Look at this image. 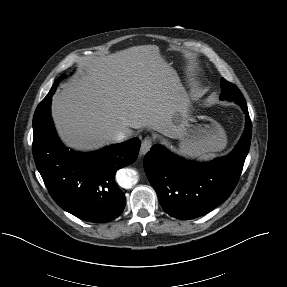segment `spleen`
<instances>
[{
    "mask_svg": "<svg viewBox=\"0 0 287 287\" xmlns=\"http://www.w3.org/2000/svg\"><path fill=\"white\" fill-rule=\"evenodd\" d=\"M213 157H215V155H214V154H208V155H206V156L202 157V159H204V160H208V159H211V158H213Z\"/></svg>",
    "mask_w": 287,
    "mask_h": 287,
    "instance_id": "obj_1",
    "label": "spleen"
}]
</instances>
